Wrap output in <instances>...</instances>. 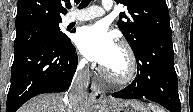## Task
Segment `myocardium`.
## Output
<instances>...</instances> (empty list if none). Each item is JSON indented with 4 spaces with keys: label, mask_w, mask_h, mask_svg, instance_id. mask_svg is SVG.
<instances>
[{
    "label": "myocardium",
    "mask_w": 193,
    "mask_h": 112,
    "mask_svg": "<svg viewBox=\"0 0 193 112\" xmlns=\"http://www.w3.org/2000/svg\"><path fill=\"white\" fill-rule=\"evenodd\" d=\"M118 47L125 53L127 59V68L122 75H114L110 73L105 67L101 68L103 77L110 83L117 86L129 85L136 77L137 74V60L131 46L125 42L120 41Z\"/></svg>",
    "instance_id": "myocardium-1"
}]
</instances>
